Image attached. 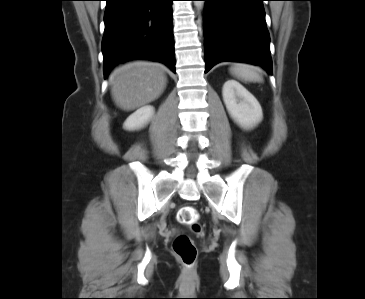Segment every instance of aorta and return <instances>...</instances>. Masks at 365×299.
I'll return each instance as SVG.
<instances>
[{
	"label": "aorta",
	"mask_w": 365,
	"mask_h": 299,
	"mask_svg": "<svg viewBox=\"0 0 365 299\" xmlns=\"http://www.w3.org/2000/svg\"><path fill=\"white\" fill-rule=\"evenodd\" d=\"M203 3H204L203 1H195V4H196V5H199V6H202V5H203Z\"/></svg>",
	"instance_id": "obj_1"
}]
</instances>
